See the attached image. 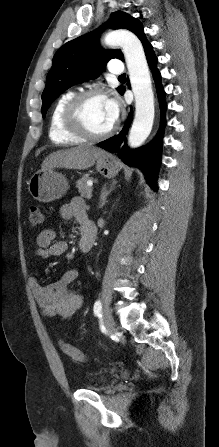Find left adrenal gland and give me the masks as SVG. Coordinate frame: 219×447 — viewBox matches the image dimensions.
<instances>
[{"label": "left adrenal gland", "instance_id": "left-adrenal-gland-1", "mask_svg": "<svg viewBox=\"0 0 219 447\" xmlns=\"http://www.w3.org/2000/svg\"><path fill=\"white\" fill-rule=\"evenodd\" d=\"M116 183H117V181L113 180L109 190H107L106 185L102 188L101 195H100L99 208H102L105 205L107 196L110 194V192L112 190L115 189Z\"/></svg>", "mask_w": 219, "mask_h": 447}]
</instances>
